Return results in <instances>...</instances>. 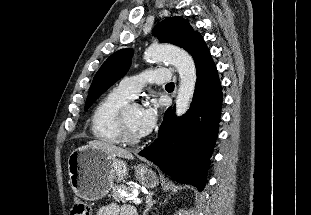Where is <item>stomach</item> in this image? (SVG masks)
Wrapping results in <instances>:
<instances>
[{
	"label": "stomach",
	"mask_w": 311,
	"mask_h": 215,
	"mask_svg": "<svg viewBox=\"0 0 311 215\" xmlns=\"http://www.w3.org/2000/svg\"><path fill=\"white\" fill-rule=\"evenodd\" d=\"M68 172L74 193L85 200L96 201L108 194L115 180H124L128 167L126 162L85 145L70 153ZM135 176L143 187L154 188L159 184L156 173L146 165L137 166Z\"/></svg>",
	"instance_id": "stomach-1"
}]
</instances>
